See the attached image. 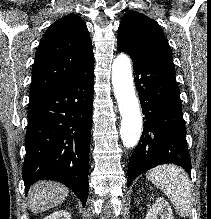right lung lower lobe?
I'll return each instance as SVG.
<instances>
[{"mask_svg":"<svg viewBox=\"0 0 211 219\" xmlns=\"http://www.w3.org/2000/svg\"><path fill=\"white\" fill-rule=\"evenodd\" d=\"M94 65L54 89L29 99L23 180L69 187L84 205L88 197Z\"/></svg>","mask_w":211,"mask_h":219,"instance_id":"right-lung-lower-lobe-1","label":"right lung lower lobe"}]
</instances>
